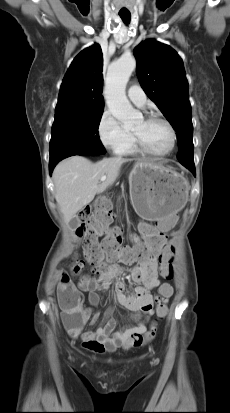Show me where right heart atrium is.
<instances>
[{
    "label": "right heart atrium",
    "mask_w": 230,
    "mask_h": 413,
    "mask_svg": "<svg viewBox=\"0 0 230 413\" xmlns=\"http://www.w3.org/2000/svg\"><path fill=\"white\" fill-rule=\"evenodd\" d=\"M97 131L103 146L115 153H120L133 139L132 133L108 110L102 113Z\"/></svg>",
    "instance_id": "obj_1"
}]
</instances>
